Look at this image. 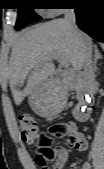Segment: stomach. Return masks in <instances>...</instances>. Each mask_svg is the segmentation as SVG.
<instances>
[{
  "instance_id": "obj_1",
  "label": "stomach",
  "mask_w": 104,
  "mask_h": 169,
  "mask_svg": "<svg viewBox=\"0 0 104 169\" xmlns=\"http://www.w3.org/2000/svg\"><path fill=\"white\" fill-rule=\"evenodd\" d=\"M65 102L61 90L50 81L37 86L29 96L32 110L41 116L56 115L63 109Z\"/></svg>"
}]
</instances>
